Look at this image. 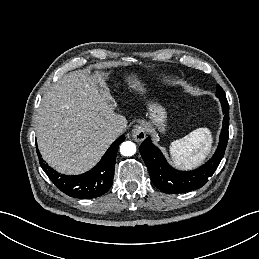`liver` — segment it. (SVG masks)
<instances>
[{"mask_svg": "<svg viewBox=\"0 0 259 259\" xmlns=\"http://www.w3.org/2000/svg\"><path fill=\"white\" fill-rule=\"evenodd\" d=\"M117 103L105 79L85 70L66 74L44 94L35 128L45 161L60 173L76 175L97 164L116 136L114 123L127 120L114 110Z\"/></svg>", "mask_w": 259, "mask_h": 259, "instance_id": "obj_1", "label": "liver"}]
</instances>
